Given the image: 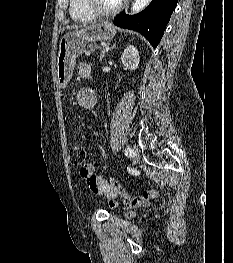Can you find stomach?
Listing matches in <instances>:
<instances>
[{
    "label": "stomach",
    "instance_id": "0dacf381",
    "mask_svg": "<svg viewBox=\"0 0 233 263\" xmlns=\"http://www.w3.org/2000/svg\"><path fill=\"white\" fill-rule=\"evenodd\" d=\"M115 34L116 28L107 21L66 33L60 40L57 56L56 77L59 87L64 88L70 81L75 60L84 52L86 43L107 41Z\"/></svg>",
    "mask_w": 233,
    "mask_h": 263
}]
</instances>
